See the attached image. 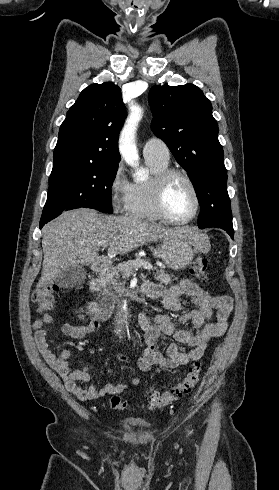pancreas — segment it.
<instances>
[{
	"instance_id": "cf45deb5",
	"label": "pancreas",
	"mask_w": 279,
	"mask_h": 490,
	"mask_svg": "<svg viewBox=\"0 0 279 490\" xmlns=\"http://www.w3.org/2000/svg\"><path fill=\"white\" fill-rule=\"evenodd\" d=\"M133 262L134 260H129V262H123V264H119L115 268H109L106 276L94 280V292H98L99 296H108V294H111V290H113L112 286H118L120 278H130L134 274ZM154 278L160 284H172L173 276L167 274L164 268H161V270H156Z\"/></svg>"
}]
</instances>
